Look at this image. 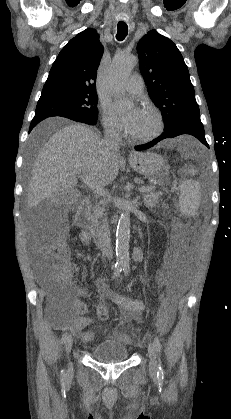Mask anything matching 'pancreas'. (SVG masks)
<instances>
[{
	"label": "pancreas",
	"instance_id": "1",
	"mask_svg": "<svg viewBox=\"0 0 231 419\" xmlns=\"http://www.w3.org/2000/svg\"><path fill=\"white\" fill-rule=\"evenodd\" d=\"M151 190L147 191L146 194L143 197L144 200V204L147 207L153 208L155 207L159 201H161V196H162V192H153V190L155 189V187H150ZM108 203V201L105 200H101L98 205H96L95 207H93V216L95 217V219H98L102 216V211L103 208L101 207V205H106Z\"/></svg>",
	"mask_w": 231,
	"mask_h": 419
}]
</instances>
